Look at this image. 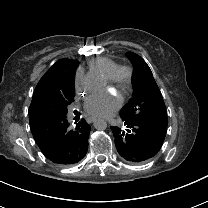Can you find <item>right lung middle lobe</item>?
I'll use <instances>...</instances> for the list:
<instances>
[{"label": "right lung middle lobe", "instance_id": "right-lung-middle-lobe-1", "mask_svg": "<svg viewBox=\"0 0 208 208\" xmlns=\"http://www.w3.org/2000/svg\"><path fill=\"white\" fill-rule=\"evenodd\" d=\"M74 78L75 73H72L54 85L51 91L39 98L34 111L43 117L66 116L67 106L74 101Z\"/></svg>", "mask_w": 208, "mask_h": 208}]
</instances>
